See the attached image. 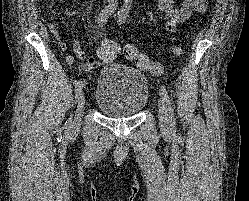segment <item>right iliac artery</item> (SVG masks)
I'll use <instances>...</instances> for the list:
<instances>
[{
	"instance_id": "right-iliac-artery-1",
	"label": "right iliac artery",
	"mask_w": 249,
	"mask_h": 201,
	"mask_svg": "<svg viewBox=\"0 0 249 201\" xmlns=\"http://www.w3.org/2000/svg\"><path fill=\"white\" fill-rule=\"evenodd\" d=\"M116 7H117L116 3H111V4L107 5L104 9H102V11L100 12V14L98 16V24L100 27L104 26V24L107 22L108 18L115 12ZM83 87H84L83 81L79 80L75 86L76 101L79 98V96L81 95ZM72 125H73L72 118H69L65 123V129L67 131H69L70 128L72 127Z\"/></svg>"
}]
</instances>
